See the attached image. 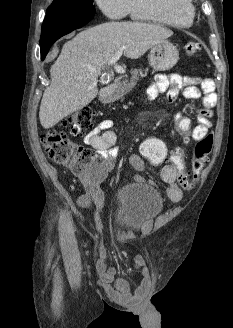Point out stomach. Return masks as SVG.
<instances>
[{
	"label": "stomach",
	"instance_id": "stomach-1",
	"mask_svg": "<svg viewBox=\"0 0 233 328\" xmlns=\"http://www.w3.org/2000/svg\"><path fill=\"white\" fill-rule=\"evenodd\" d=\"M179 60V52L175 45L171 42L164 40L154 45L149 53V64L158 71L169 70L176 65ZM138 72L134 71L133 79H137ZM133 83L125 88H122L114 95V99L121 97L128 91Z\"/></svg>",
	"mask_w": 233,
	"mask_h": 328
}]
</instances>
